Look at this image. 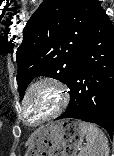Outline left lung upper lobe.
Masks as SVG:
<instances>
[{
  "label": "left lung upper lobe",
  "mask_w": 114,
  "mask_h": 156,
  "mask_svg": "<svg viewBox=\"0 0 114 156\" xmlns=\"http://www.w3.org/2000/svg\"><path fill=\"white\" fill-rule=\"evenodd\" d=\"M100 7L97 0H44L27 22L17 49L20 98L36 76L69 86L84 40Z\"/></svg>",
  "instance_id": "1"
}]
</instances>
